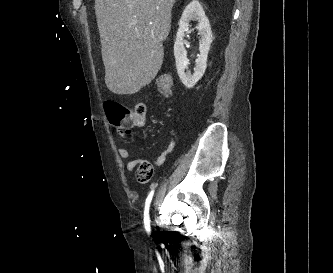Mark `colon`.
Listing matches in <instances>:
<instances>
[{
  "label": "colon",
  "instance_id": "colon-1",
  "mask_svg": "<svg viewBox=\"0 0 333 273\" xmlns=\"http://www.w3.org/2000/svg\"><path fill=\"white\" fill-rule=\"evenodd\" d=\"M158 92L169 96L173 90V79L169 73H162L156 80ZM104 108L107 118L112 127L119 135H128L132 128L136 127L137 121L132 112L124 105L116 101H106ZM136 179L141 183L148 182L153 176V167L147 160H141L136 167Z\"/></svg>",
  "mask_w": 333,
  "mask_h": 273
}]
</instances>
